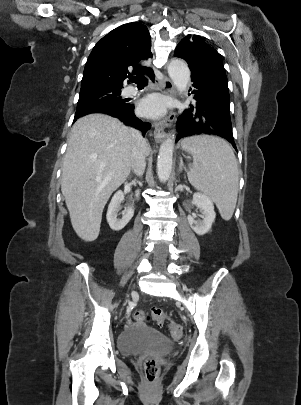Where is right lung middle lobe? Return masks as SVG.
<instances>
[{
    "label": "right lung middle lobe",
    "instance_id": "1",
    "mask_svg": "<svg viewBox=\"0 0 301 405\" xmlns=\"http://www.w3.org/2000/svg\"><path fill=\"white\" fill-rule=\"evenodd\" d=\"M121 89L95 87L80 90L76 115H82L94 109L104 107H125L128 104L120 97Z\"/></svg>",
    "mask_w": 301,
    "mask_h": 405
}]
</instances>
